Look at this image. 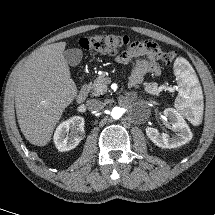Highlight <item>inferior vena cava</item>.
I'll return each mask as SVG.
<instances>
[{
	"label": "inferior vena cava",
	"mask_w": 215,
	"mask_h": 215,
	"mask_svg": "<svg viewBox=\"0 0 215 215\" xmlns=\"http://www.w3.org/2000/svg\"><path fill=\"white\" fill-rule=\"evenodd\" d=\"M104 103L100 100L90 99L86 102L87 109L94 112H99L104 108Z\"/></svg>",
	"instance_id": "1"
}]
</instances>
